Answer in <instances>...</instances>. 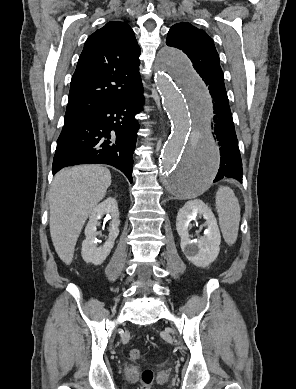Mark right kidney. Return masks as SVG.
Returning a JSON list of instances; mask_svg holds the SVG:
<instances>
[{"label": "right kidney", "instance_id": "ca27d5eb", "mask_svg": "<svg viewBox=\"0 0 296 389\" xmlns=\"http://www.w3.org/2000/svg\"><path fill=\"white\" fill-rule=\"evenodd\" d=\"M111 220L109 228V237L103 246H98L97 236L101 235L97 231L100 220L104 217ZM119 210L115 198L109 197L92 210L88 224L85 228V239L82 242V258L86 263L94 265L102 264L110 254L114 246V241L119 235Z\"/></svg>", "mask_w": 296, "mask_h": 389}]
</instances>
